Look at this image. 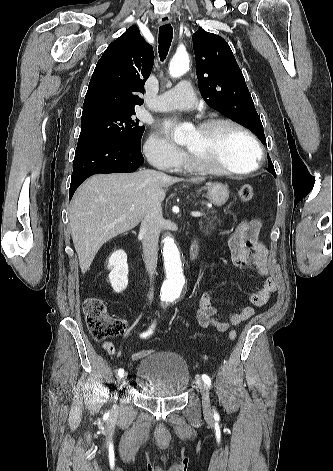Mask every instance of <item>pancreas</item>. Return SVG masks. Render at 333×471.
Returning <instances> with one entry per match:
<instances>
[{
  "label": "pancreas",
  "instance_id": "1",
  "mask_svg": "<svg viewBox=\"0 0 333 471\" xmlns=\"http://www.w3.org/2000/svg\"><path fill=\"white\" fill-rule=\"evenodd\" d=\"M211 213L214 214V211H212ZM216 220V216L208 217L206 221L199 222L200 228L203 229L206 233H210L216 229Z\"/></svg>",
  "mask_w": 333,
  "mask_h": 471
}]
</instances>
